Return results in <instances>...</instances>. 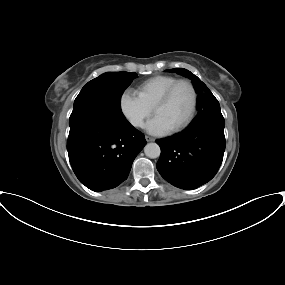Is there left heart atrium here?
<instances>
[{
  "mask_svg": "<svg viewBox=\"0 0 285 285\" xmlns=\"http://www.w3.org/2000/svg\"><path fill=\"white\" fill-rule=\"evenodd\" d=\"M147 132L153 135H165L171 131L170 127L159 116L153 117L145 126Z\"/></svg>",
  "mask_w": 285,
  "mask_h": 285,
  "instance_id": "1",
  "label": "left heart atrium"
}]
</instances>
